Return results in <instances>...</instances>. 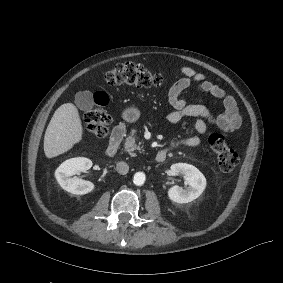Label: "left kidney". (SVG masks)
<instances>
[{
    "label": "left kidney",
    "mask_w": 283,
    "mask_h": 283,
    "mask_svg": "<svg viewBox=\"0 0 283 283\" xmlns=\"http://www.w3.org/2000/svg\"><path fill=\"white\" fill-rule=\"evenodd\" d=\"M173 175H182L186 188L173 186L168 190L170 200L176 203H189L198 198L206 187V178L195 166L187 163H176L171 167Z\"/></svg>",
    "instance_id": "obj_1"
}]
</instances>
